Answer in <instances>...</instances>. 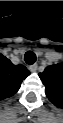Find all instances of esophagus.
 I'll return each mask as SVG.
<instances>
[{
	"label": "esophagus",
	"mask_w": 63,
	"mask_h": 123,
	"mask_svg": "<svg viewBox=\"0 0 63 123\" xmlns=\"http://www.w3.org/2000/svg\"><path fill=\"white\" fill-rule=\"evenodd\" d=\"M37 68H38V65L37 64H33L29 67L30 71L31 72H36L37 71Z\"/></svg>",
	"instance_id": "esophagus-1"
}]
</instances>
